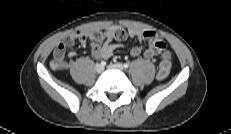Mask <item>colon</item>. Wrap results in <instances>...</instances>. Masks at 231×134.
I'll return each mask as SVG.
<instances>
[{
    "label": "colon",
    "mask_w": 231,
    "mask_h": 134,
    "mask_svg": "<svg viewBox=\"0 0 231 134\" xmlns=\"http://www.w3.org/2000/svg\"><path fill=\"white\" fill-rule=\"evenodd\" d=\"M114 36L117 40H124L126 38V33L122 29H118L114 32ZM97 40H102L101 36L96 35ZM171 54L169 51H165L162 55V60L159 64L157 78L159 80H164L168 77L171 68ZM52 67L55 69H63L67 66V63L64 60L54 59L51 63Z\"/></svg>",
    "instance_id": "obj_1"
}]
</instances>
